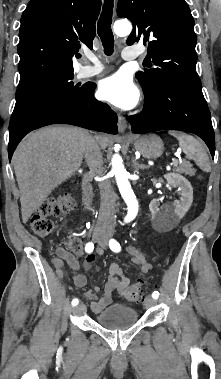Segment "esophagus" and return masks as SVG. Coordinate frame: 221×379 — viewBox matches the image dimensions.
Returning a JSON list of instances; mask_svg holds the SVG:
<instances>
[{"instance_id": "obj_1", "label": "esophagus", "mask_w": 221, "mask_h": 379, "mask_svg": "<svg viewBox=\"0 0 221 379\" xmlns=\"http://www.w3.org/2000/svg\"><path fill=\"white\" fill-rule=\"evenodd\" d=\"M127 129V121L122 115L118 116V130L120 133H124Z\"/></svg>"}]
</instances>
